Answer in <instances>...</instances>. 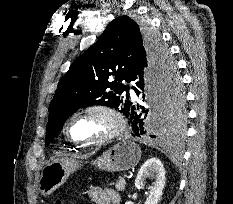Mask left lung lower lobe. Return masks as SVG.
<instances>
[{
    "instance_id": "obj_1",
    "label": "left lung lower lobe",
    "mask_w": 233,
    "mask_h": 204,
    "mask_svg": "<svg viewBox=\"0 0 233 204\" xmlns=\"http://www.w3.org/2000/svg\"><path fill=\"white\" fill-rule=\"evenodd\" d=\"M144 58V54L140 53L132 67L129 79L134 82L132 89L135 91L137 96H141L143 102L146 97L145 92H147L148 96L152 97L154 100V108L152 109L149 118H147L149 108L143 105L135 106L131 104V106L126 110L124 115L129 118V123L132 127V135L141 137L149 134L150 137L157 138L173 132L176 129L181 131L182 127L175 128L174 126L166 125V120L163 115L161 86L157 75L150 66L145 63ZM137 110L140 112H137Z\"/></svg>"
}]
</instances>
